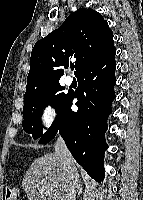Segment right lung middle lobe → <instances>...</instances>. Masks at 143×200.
<instances>
[{"label":"right lung middle lobe","mask_w":143,"mask_h":200,"mask_svg":"<svg viewBox=\"0 0 143 200\" xmlns=\"http://www.w3.org/2000/svg\"><path fill=\"white\" fill-rule=\"evenodd\" d=\"M63 89L59 83H54L24 95L22 126L35 139L39 138L43 133L41 125L43 108L51 105L58 112L67 99L69 94L62 92Z\"/></svg>","instance_id":"obj_1"}]
</instances>
